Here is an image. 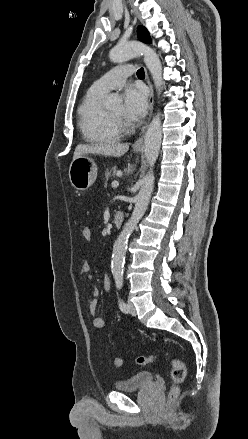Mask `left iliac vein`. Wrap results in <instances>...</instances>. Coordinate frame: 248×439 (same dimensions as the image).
<instances>
[{"instance_id":"1","label":"left iliac vein","mask_w":248,"mask_h":439,"mask_svg":"<svg viewBox=\"0 0 248 439\" xmlns=\"http://www.w3.org/2000/svg\"><path fill=\"white\" fill-rule=\"evenodd\" d=\"M128 307H129V310H128L129 313L132 314V315H136L135 306H134V304L131 301L128 302Z\"/></svg>"}]
</instances>
